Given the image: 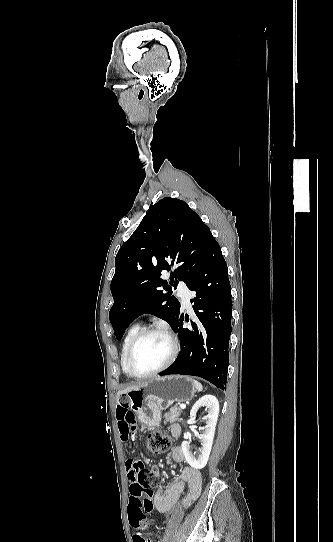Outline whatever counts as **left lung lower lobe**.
I'll use <instances>...</instances> for the list:
<instances>
[{
    "instance_id": "obj_1",
    "label": "left lung lower lobe",
    "mask_w": 333,
    "mask_h": 542,
    "mask_svg": "<svg viewBox=\"0 0 333 542\" xmlns=\"http://www.w3.org/2000/svg\"><path fill=\"white\" fill-rule=\"evenodd\" d=\"M186 285L196 293L191 303H195L193 309L198 320L191 322V329L183 328V315L178 320L174 329L181 342L180 353L159 375L198 376L225 389L231 333V286L227 264L214 237ZM185 320L188 321V315Z\"/></svg>"
}]
</instances>
